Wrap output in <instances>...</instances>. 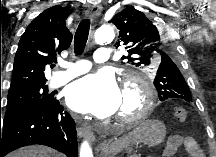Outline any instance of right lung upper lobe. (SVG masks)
I'll return each mask as SVG.
<instances>
[{
    "label": "right lung upper lobe",
    "mask_w": 216,
    "mask_h": 157,
    "mask_svg": "<svg viewBox=\"0 0 216 157\" xmlns=\"http://www.w3.org/2000/svg\"><path fill=\"white\" fill-rule=\"evenodd\" d=\"M70 13V9L56 5L28 25L18 44L9 92L45 85V66L71 44L72 34L65 24Z\"/></svg>",
    "instance_id": "cb5924a9"
}]
</instances>
